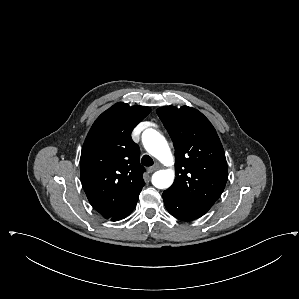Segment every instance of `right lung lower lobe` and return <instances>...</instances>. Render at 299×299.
Masks as SVG:
<instances>
[{
    "label": "right lung lower lobe",
    "mask_w": 299,
    "mask_h": 299,
    "mask_svg": "<svg viewBox=\"0 0 299 299\" xmlns=\"http://www.w3.org/2000/svg\"><path fill=\"white\" fill-rule=\"evenodd\" d=\"M137 201H138V198L135 199L131 204H129L126 208H124L122 211H120L119 213H117L116 215L111 217L110 219L112 221H118V220H121V219L127 217L135 208Z\"/></svg>",
    "instance_id": "98d812e1"
}]
</instances>
